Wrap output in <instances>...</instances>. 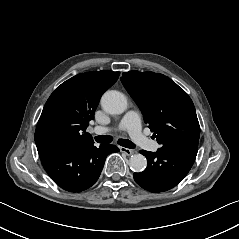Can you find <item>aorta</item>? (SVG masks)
Returning a JSON list of instances; mask_svg holds the SVG:
<instances>
[{
    "label": "aorta",
    "mask_w": 239,
    "mask_h": 239,
    "mask_svg": "<svg viewBox=\"0 0 239 239\" xmlns=\"http://www.w3.org/2000/svg\"><path fill=\"white\" fill-rule=\"evenodd\" d=\"M101 105L103 110H105L107 113L120 115L127 110L128 100L123 93L110 90L102 96ZM129 163L131 170L134 172H142L147 166V160L141 154L132 155L130 157Z\"/></svg>",
    "instance_id": "1"
}]
</instances>
